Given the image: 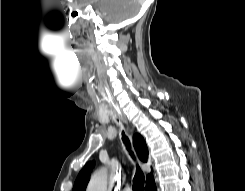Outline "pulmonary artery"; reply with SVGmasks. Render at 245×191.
I'll return each mask as SVG.
<instances>
[{
  "mask_svg": "<svg viewBox=\"0 0 245 191\" xmlns=\"http://www.w3.org/2000/svg\"><path fill=\"white\" fill-rule=\"evenodd\" d=\"M123 191H131V189L129 187H127Z\"/></svg>",
  "mask_w": 245,
  "mask_h": 191,
  "instance_id": "pulmonary-artery-1",
  "label": "pulmonary artery"
}]
</instances>
